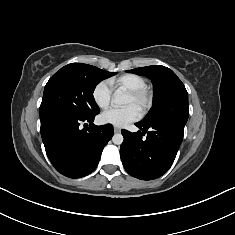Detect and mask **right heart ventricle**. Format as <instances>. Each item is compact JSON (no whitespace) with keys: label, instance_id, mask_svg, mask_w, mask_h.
I'll return each instance as SVG.
<instances>
[{"label":"right heart ventricle","instance_id":"e07e8e85","mask_svg":"<svg viewBox=\"0 0 235 235\" xmlns=\"http://www.w3.org/2000/svg\"><path fill=\"white\" fill-rule=\"evenodd\" d=\"M110 85L115 88H122L127 91L144 88L147 86L146 80L132 73L123 74L109 81Z\"/></svg>","mask_w":235,"mask_h":235}]
</instances>
